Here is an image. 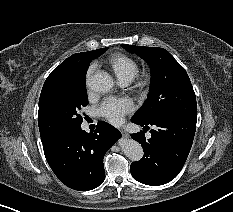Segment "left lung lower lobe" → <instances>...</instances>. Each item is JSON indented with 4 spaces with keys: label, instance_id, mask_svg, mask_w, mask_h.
Segmentation results:
<instances>
[{
    "label": "left lung lower lobe",
    "instance_id": "left-lung-lower-lobe-1",
    "mask_svg": "<svg viewBox=\"0 0 233 212\" xmlns=\"http://www.w3.org/2000/svg\"><path fill=\"white\" fill-rule=\"evenodd\" d=\"M144 129H151V138L146 140L144 133L131 134L144 150L140 161L133 162L130 167L132 176L146 185H163L174 179L180 172L190 152L195 130L194 118L161 115L142 123L131 119Z\"/></svg>",
    "mask_w": 233,
    "mask_h": 212
}]
</instances>
